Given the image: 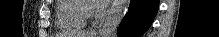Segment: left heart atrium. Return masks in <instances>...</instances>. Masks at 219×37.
I'll list each match as a JSON object with an SVG mask.
<instances>
[{"mask_svg":"<svg viewBox=\"0 0 219 37\" xmlns=\"http://www.w3.org/2000/svg\"><path fill=\"white\" fill-rule=\"evenodd\" d=\"M104 3V0H94V4L96 7H101Z\"/></svg>","mask_w":219,"mask_h":37,"instance_id":"left-heart-atrium-1","label":"left heart atrium"}]
</instances>
